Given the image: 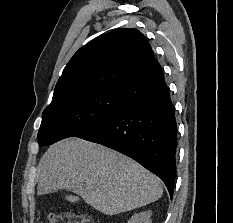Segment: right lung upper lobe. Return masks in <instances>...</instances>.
<instances>
[{"label": "right lung upper lobe", "mask_w": 233, "mask_h": 223, "mask_svg": "<svg viewBox=\"0 0 233 223\" xmlns=\"http://www.w3.org/2000/svg\"><path fill=\"white\" fill-rule=\"evenodd\" d=\"M162 71L144 35L116 29L80 48L59 78L53 100L94 88L123 89Z\"/></svg>", "instance_id": "right-lung-upper-lobe-1"}]
</instances>
